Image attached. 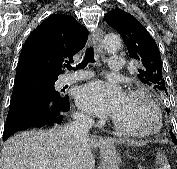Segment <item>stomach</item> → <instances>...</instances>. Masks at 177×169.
Returning <instances> with one entry per match:
<instances>
[{
    "label": "stomach",
    "mask_w": 177,
    "mask_h": 169,
    "mask_svg": "<svg viewBox=\"0 0 177 169\" xmlns=\"http://www.w3.org/2000/svg\"><path fill=\"white\" fill-rule=\"evenodd\" d=\"M101 164L100 169H119L121 162L120 153L116 150L114 144L107 145L100 150Z\"/></svg>",
    "instance_id": "stomach-1"
}]
</instances>
